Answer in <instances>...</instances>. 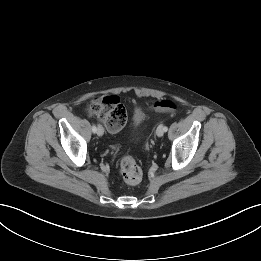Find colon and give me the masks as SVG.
Instances as JSON below:
<instances>
[{"mask_svg":"<svg viewBox=\"0 0 261 261\" xmlns=\"http://www.w3.org/2000/svg\"><path fill=\"white\" fill-rule=\"evenodd\" d=\"M156 111L173 113L176 104L170 100H161L153 105ZM90 112L97 115L110 131L120 130L126 123L127 112L117 96L95 99L90 105ZM120 174L128 185H136L142 180V170L131 156H126L120 163Z\"/></svg>","mask_w":261,"mask_h":261,"instance_id":"5ec220e1","label":"colon"}]
</instances>
